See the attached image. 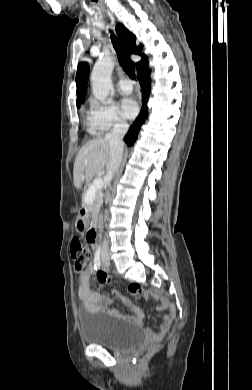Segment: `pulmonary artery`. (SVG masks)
I'll list each match as a JSON object with an SVG mask.
<instances>
[{"label": "pulmonary artery", "instance_id": "pulmonary-artery-1", "mask_svg": "<svg viewBox=\"0 0 252 390\" xmlns=\"http://www.w3.org/2000/svg\"><path fill=\"white\" fill-rule=\"evenodd\" d=\"M118 89L124 94H129L132 91V85L128 80L121 79L118 82Z\"/></svg>", "mask_w": 252, "mask_h": 390}]
</instances>
